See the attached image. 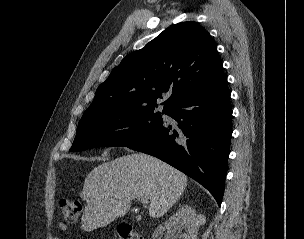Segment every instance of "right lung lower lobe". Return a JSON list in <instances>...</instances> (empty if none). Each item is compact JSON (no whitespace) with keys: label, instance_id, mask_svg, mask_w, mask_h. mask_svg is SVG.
I'll return each mask as SVG.
<instances>
[{"label":"right lung lower lobe","instance_id":"obj_1","mask_svg":"<svg viewBox=\"0 0 304 239\" xmlns=\"http://www.w3.org/2000/svg\"><path fill=\"white\" fill-rule=\"evenodd\" d=\"M177 125L157 129L127 146L155 156L204 186L221 205L232 135V108L221 73L205 87L183 95L165 108Z\"/></svg>","mask_w":304,"mask_h":239}]
</instances>
